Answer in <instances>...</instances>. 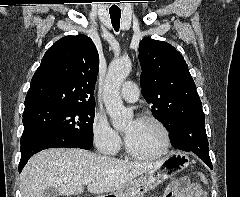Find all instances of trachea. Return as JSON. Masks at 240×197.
<instances>
[{
	"label": "trachea",
	"instance_id": "obj_1",
	"mask_svg": "<svg viewBox=\"0 0 240 197\" xmlns=\"http://www.w3.org/2000/svg\"><path fill=\"white\" fill-rule=\"evenodd\" d=\"M120 17H121L120 12H110L111 22L116 32H118L120 28Z\"/></svg>",
	"mask_w": 240,
	"mask_h": 197
}]
</instances>
